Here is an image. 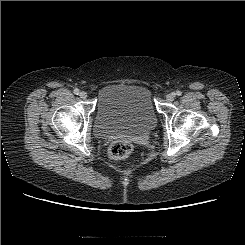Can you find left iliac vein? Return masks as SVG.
<instances>
[{
  "label": "left iliac vein",
  "instance_id": "1",
  "mask_svg": "<svg viewBox=\"0 0 245 245\" xmlns=\"http://www.w3.org/2000/svg\"><path fill=\"white\" fill-rule=\"evenodd\" d=\"M174 98H175V95H174L173 93H170V94H168V95L166 96V99H167V101H169V102L173 101Z\"/></svg>",
  "mask_w": 245,
  "mask_h": 245
}]
</instances>
